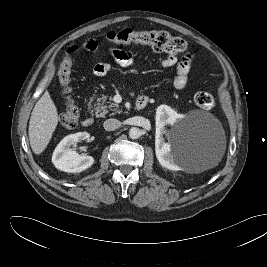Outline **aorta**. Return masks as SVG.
<instances>
[{"instance_id": "1", "label": "aorta", "mask_w": 267, "mask_h": 267, "mask_svg": "<svg viewBox=\"0 0 267 267\" xmlns=\"http://www.w3.org/2000/svg\"><path fill=\"white\" fill-rule=\"evenodd\" d=\"M141 136V131L139 128L137 127H132L130 130H129V137L131 139H138L139 137Z\"/></svg>"}]
</instances>
